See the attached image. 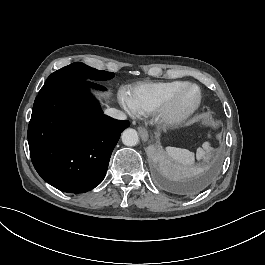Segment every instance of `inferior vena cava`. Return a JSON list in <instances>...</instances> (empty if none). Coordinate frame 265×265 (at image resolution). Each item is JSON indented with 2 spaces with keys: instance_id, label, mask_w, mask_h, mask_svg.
<instances>
[{
  "instance_id": "1",
  "label": "inferior vena cava",
  "mask_w": 265,
  "mask_h": 265,
  "mask_svg": "<svg viewBox=\"0 0 265 265\" xmlns=\"http://www.w3.org/2000/svg\"><path fill=\"white\" fill-rule=\"evenodd\" d=\"M105 114L118 120H125L127 118L124 112L117 110L115 108L106 109Z\"/></svg>"
}]
</instances>
